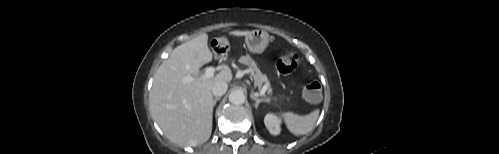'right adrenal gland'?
<instances>
[{
	"mask_svg": "<svg viewBox=\"0 0 499 154\" xmlns=\"http://www.w3.org/2000/svg\"><path fill=\"white\" fill-rule=\"evenodd\" d=\"M219 100H220V97H216V98L214 99V105H216L217 101H219Z\"/></svg>",
	"mask_w": 499,
	"mask_h": 154,
	"instance_id": "right-adrenal-gland-1",
	"label": "right adrenal gland"
}]
</instances>
